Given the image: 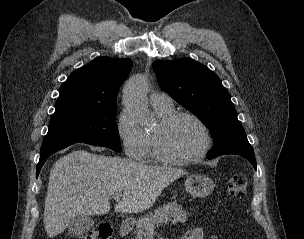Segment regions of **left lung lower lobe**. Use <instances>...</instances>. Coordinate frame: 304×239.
<instances>
[{"instance_id": "obj_1", "label": "left lung lower lobe", "mask_w": 304, "mask_h": 239, "mask_svg": "<svg viewBox=\"0 0 304 239\" xmlns=\"http://www.w3.org/2000/svg\"><path fill=\"white\" fill-rule=\"evenodd\" d=\"M240 155L244 158H246L247 160H249L251 162V164L254 166V168L256 169V161H255V155H248V154H237ZM216 156H208L209 159H213Z\"/></svg>"}]
</instances>
